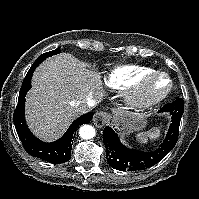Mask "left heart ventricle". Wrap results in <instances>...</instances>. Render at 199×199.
Here are the masks:
<instances>
[{"mask_svg":"<svg viewBox=\"0 0 199 199\" xmlns=\"http://www.w3.org/2000/svg\"><path fill=\"white\" fill-rule=\"evenodd\" d=\"M168 87V81L164 78H158L151 84V90L153 93H160L166 90Z\"/></svg>","mask_w":199,"mask_h":199,"instance_id":"left-heart-ventricle-1","label":"left heart ventricle"}]
</instances>
